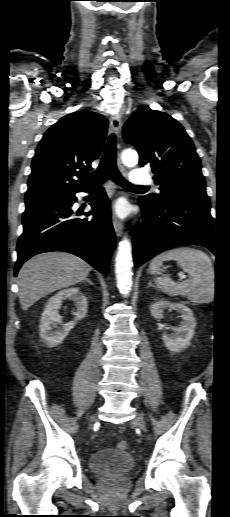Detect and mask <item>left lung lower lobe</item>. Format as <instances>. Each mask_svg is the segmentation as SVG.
<instances>
[{"label":"left lung lower lobe","mask_w":230,"mask_h":517,"mask_svg":"<svg viewBox=\"0 0 230 517\" xmlns=\"http://www.w3.org/2000/svg\"><path fill=\"white\" fill-rule=\"evenodd\" d=\"M144 222L136 227L133 257L136 266L177 246L199 245L217 253L208 197H182L160 206L139 199Z\"/></svg>","instance_id":"obj_1"}]
</instances>
